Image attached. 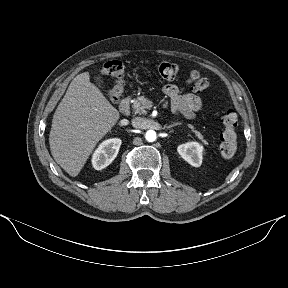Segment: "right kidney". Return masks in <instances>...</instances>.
<instances>
[{
	"mask_svg": "<svg viewBox=\"0 0 288 288\" xmlns=\"http://www.w3.org/2000/svg\"><path fill=\"white\" fill-rule=\"evenodd\" d=\"M121 140L118 138L103 141L92 156V165L96 170L107 167L117 156Z\"/></svg>",
	"mask_w": 288,
	"mask_h": 288,
	"instance_id": "right-kidney-1",
	"label": "right kidney"
}]
</instances>
